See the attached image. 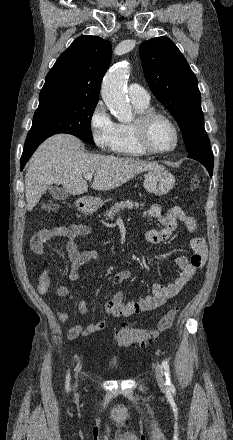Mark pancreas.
<instances>
[{
  "label": "pancreas",
  "mask_w": 233,
  "mask_h": 440,
  "mask_svg": "<svg viewBox=\"0 0 233 440\" xmlns=\"http://www.w3.org/2000/svg\"><path fill=\"white\" fill-rule=\"evenodd\" d=\"M144 204L134 203L133 201H121L120 203H115L109 210L106 211L105 216L106 219H114V217L120 213L121 210L128 209H138L139 207H143Z\"/></svg>",
  "instance_id": "pancreas-1"
}]
</instances>
